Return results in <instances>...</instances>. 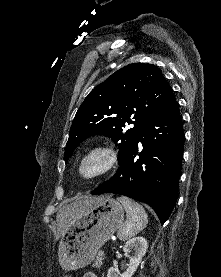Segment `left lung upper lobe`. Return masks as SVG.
Instances as JSON below:
<instances>
[{
    "label": "left lung upper lobe",
    "instance_id": "obj_1",
    "mask_svg": "<svg viewBox=\"0 0 221 277\" xmlns=\"http://www.w3.org/2000/svg\"><path fill=\"white\" fill-rule=\"evenodd\" d=\"M173 100V90L157 66L133 63L119 69L96 86L79 107L65 161L83 140L100 134L120 142V164L147 124ZM126 123L134 127L126 130Z\"/></svg>",
    "mask_w": 221,
    "mask_h": 277
}]
</instances>
